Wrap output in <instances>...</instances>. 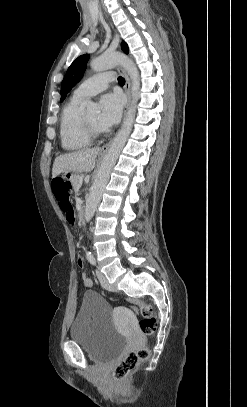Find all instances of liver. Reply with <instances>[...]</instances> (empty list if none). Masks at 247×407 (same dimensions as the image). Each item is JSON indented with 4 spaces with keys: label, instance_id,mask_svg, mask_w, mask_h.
Segmentation results:
<instances>
[{
    "label": "liver",
    "instance_id": "6515ba94",
    "mask_svg": "<svg viewBox=\"0 0 247 407\" xmlns=\"http://www.w3.org/2000/svg\"><path fill=\"white\" fill-rule=\"evenodd\" d=\"M99 151L100 149L96 147L58 156L53 163L52 178H56L62 172L82 173L93 170Z\"/></svg>",
    "mask_w": 247,
    "mask_h": 407
}]
</instances>
